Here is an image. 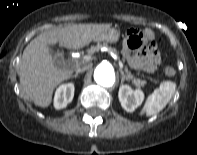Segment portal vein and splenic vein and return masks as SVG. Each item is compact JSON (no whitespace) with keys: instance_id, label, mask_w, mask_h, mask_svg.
<instances>
[{"instance_id":"portal-vein-and-splenic-vein-1","label":"portal vein and splenic vein","mask_w":197,"mask_h":155,"mask_svg":"<svg viewBox=\"0 0 197 155\" xmlns=\"http://www.w3.org/2000/svg\"><path fill=\"white\" fill-rule=\"evenodd\" d=\"M118 63H119L120 68H123V63H122V61H121V60H118Z\"/></svg>"}]
</instances>
